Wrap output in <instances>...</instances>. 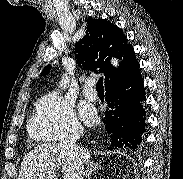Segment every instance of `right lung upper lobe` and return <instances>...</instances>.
<instances>
[{"mask_svg":"<svg viewBox=\"0 0 183 179\" xmlns=\"http://www.w3.org/2000/svg\"><path fill=\"white\" fill-rule=\"evenodd\" d=\"M78 66L103 73L105 84L130 73L139 63L122 30L104 19H88L86 35L75 44ZM120 62L118 66V62ZM51 66L45 67L46 75Z\"/></svg>","mask_w":183,"mask_h":179,"instance_id":"cb5924a9","label":"right lung upper lobe"}]
</instances>
